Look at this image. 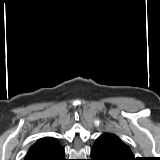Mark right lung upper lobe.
Segmentation results:
<instances>
[{"label": "right lung upper lobe", "instance_id": "1", "mask_svg": "<svg viewBox=\"0 0 160 160\" xmlns=\"http://www.w3.org/2000/svg\"><path fill=\"white\" fill-rule=\"evenodd\" d=\"M59 147L60 144L55 138H40L29 148L28 153L25 156V160H38V158L57 150Z\"/></svg>", "mask_w": 160, "mask_h": 160}]
</instances>
